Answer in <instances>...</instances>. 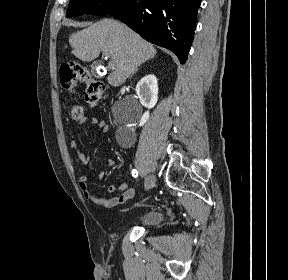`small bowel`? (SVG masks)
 Instances as JSON below:
<instances>
[{
	"label": "small bowel",
	"instance_id": "c3829d8e",
	"mask_svg": "<svg viewBox=\"0 0 288 280\" xmlns=\"http://www.w3.org/2000/svg\"><path fill=\"white\" fill-rule=\"evenodd\" d=\"M87 122L99 128L103 133H106L108 131V125L103 120H100L93 116L85 117L81 120V123H87ZM70 147L76 152L79 161L83 165H87L89 163L90 157L80 149L78 143L75 140H72L70 142ZM108 164L109 166H113L114 161L109 159ZM105 176L106 173L104 171H100L97 174V178L99 180H103ZM78 183L84 198L91 205L102 210H108L120 206L122 204H125L135 196V189L129 187L126 182H121L118 186H116L113 183L110 184L107 188L108 193L112 194L116 190H118L119 192L118 196L110 198L98 196L91 188L89 179L84 175L80 176Z\"/></svg>",
	"mask_w": 288,
	"mask_h": 280
}]
</instances>
